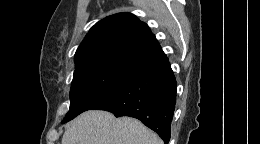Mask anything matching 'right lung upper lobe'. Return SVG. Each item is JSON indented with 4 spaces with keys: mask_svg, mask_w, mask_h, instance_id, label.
Masks as SVG:
<instances>
[{
    "mask_svg": "<svg viewBox=\"0 0 260 144\" xmlns=\"http://www.w3.org/2000/svg\"><path fill=\"white\" fill-rule=\"evenodd\" d=\"M166 57L144 22L118 13L96 23L75 53V72L93 66L137 71Z\"/></svg>",
    "mask_w": 260,
    "mask_h": 144,
    "instance_id": "1",
    "label": "right lung upper lobe"
}]
</instances>
